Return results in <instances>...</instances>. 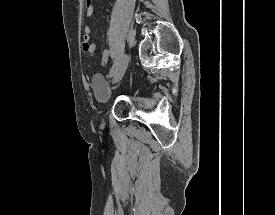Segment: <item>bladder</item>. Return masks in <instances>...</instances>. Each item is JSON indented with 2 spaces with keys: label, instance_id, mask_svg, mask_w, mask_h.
<instances>
[{
  "label": "bladder",
  "instance_id": "1",
  "mask_svg": "<svg viewBox=\"0 0 275 215\" xmlns=\"http://www.w3.org/2000/svg\"><path fill=\"white\" fill-rule=\"evenodd\" d=\"M92 87L99 103L105 104L112 99L113 96L109 91V80L107 76L95 73L92 78Z\"/></svg>",
  "mask_w": 275,
  "mask_h": 215
}]
</instances>
